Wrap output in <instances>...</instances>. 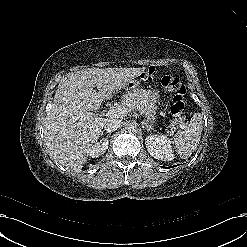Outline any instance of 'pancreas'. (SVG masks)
<instances>
[{
	"instance_id": "1",
	"label": "pancreas",
	"mask_w": 247,
	"mask_h": 247,
	"mask_svg": "<svg viewBox=\"0 0 247 247\" xmlns=\"http://www.w3.org/2000/svg\"><path fill=\"white\" fill-rule=\"evenodd\" d=\"M122 106H125L130 111H139L140 114L144 115L147 121L153 122L155 120V114L157 106L155 103L144 98L139 92L135 96L127 97ZM177 120L171 122V126L174 127L177 124Z\"/></svg>"
}]
</instances>
